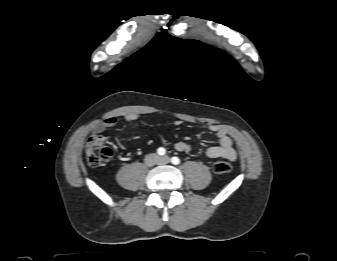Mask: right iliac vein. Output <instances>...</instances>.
I'll list each match as a JSON object with an SVG mask.
<instances>
[{"mask_svg":"<svg viewBox=\"0 0 337 261\" xmlns=\"http://www.w3.org/2000/svg\"><path fill=\"white\" fill-rule=\"evenodd\" d=\"M145 162L148 166H153L159 162V158L156 154H150L146 157Z\"/></svg>","mask_w":337,"mask_h":261,"instance_id":"right-iliac-vein-1","label":"right iliac vein"}]
</instances>
